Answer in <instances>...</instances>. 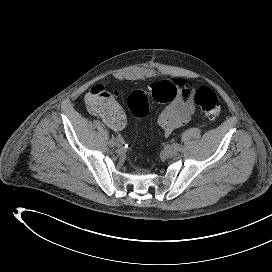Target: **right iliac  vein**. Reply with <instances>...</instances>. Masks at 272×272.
<instances>
[{"mask_svg": "<svg viewBox=\"0 0 272 272\" xmlns=\"http://www.w3.org/2000/svg\"><path fill=\"white\" fill-rule=\"evenodd\" d=\"M110 144H113V145H116L117 147H120L123 143L122 142H119L117 139L116 140H113V141H109Z\"/></svg>", "mask_w": 272, "mask_h": 272, "instance_id": "obj_1", "label": "right iliac vein"}]
</instances>
